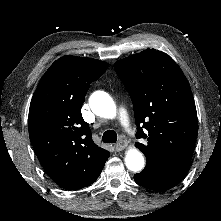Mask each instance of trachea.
<instances>
[{
	"mask_svg": "<svg viewBox=\"0 0 221 221\" xmlns=\"http://www.w3.org/2000/svg\"><path fill=\"white\" fill-rule=\"evenodd\" d=\"M102 141L104 143H116L117 141V134L114 130H107L104 132Z\"/></svg>",
	"mask_w": 221,
	"mask_h": 221,
	"instance_id": "obj_1",
	"label": "trachea"
}]
</instances>
